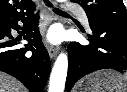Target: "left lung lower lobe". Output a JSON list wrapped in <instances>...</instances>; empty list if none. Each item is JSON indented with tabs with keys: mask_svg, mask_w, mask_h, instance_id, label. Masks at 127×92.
I'll return each instance as SVG.
<instances>
[{
	"mask_svg": "<svg viewBox=\"0 0 127 92\" xmlns=\"http://www.w3.org/2000/svg\"><path fill=\"white\" fill-rule=\"evenodd\" d=\"M89 45L71 42L66 91L83 76L101 69L127 70V22L89 19Z\"/></svg>",
	"mask_w": 127,
	"mask_h": 92,
	"instance_id": "obj_1",
	"label": "left lung lower lobe"
}]
</instances>
